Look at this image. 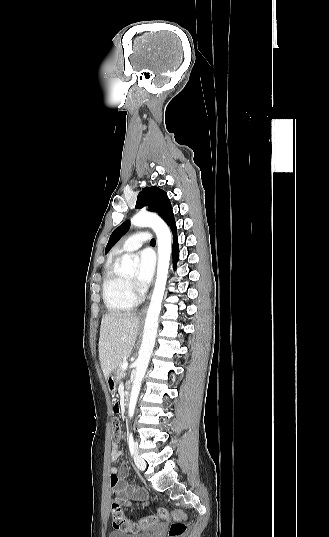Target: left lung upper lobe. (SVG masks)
<instances>
[{
    "instance_id": "left-lung-upper-lobe-1",
    "label": "left lung upper lobe",
    "mask_w": 329,
    "mask_h": 537,
    "mask_svg": "<svg viewBox=\"0 0 329 537\" xmlns=\"http://www.w3.org/2000/svg\"><path fill=\"white\" fill-rule=\"evenodd\" d=\"M146 205L150 211L158 213L170 227L175 225L170 200L165 191L159 189L158 187L143 188L138 194L136 208L139 209ZM128 227L129 221H125L113 231L105 248V253H107L116 244Z\"/></svg>"
}]
</instances>
